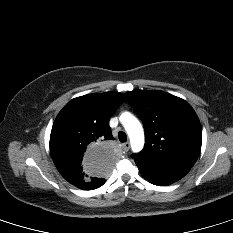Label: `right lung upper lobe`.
Segmentation results:
<instances>
[{
    "label": "right lung upper lobe",
    "instance_id": "obj_1",
    "mask_svg": "<svg viewBox=\"0 0 233 233\" xmlns=\"http://www.w3.org/2000/svg\"><path fill=\"white\" fill-rule=\"evenodd\" d=\"M125 95L105 92L69 101L57 115L50 135V153L61 175L71 184L100 182L110 176L118 154L109 119Z\"/></svg>",
    "mask_w": 233,
    "mask_h": 233
}]
</instances>
